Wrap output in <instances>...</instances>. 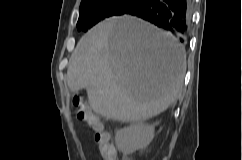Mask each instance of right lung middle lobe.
<instances>
[{"label": "right lung middle lobe", "instance_id": "1", "mask_svg": "<svg viewBox=\"0 0 242 160\" xmlns=\"http://www.w3.org/2000/svg\"><path fill=\"white\" fill-rule=\"evenodd\" d=\"M141 0H82L80 5L78 31L86 32L99 21L125 14Z\"/></svg>", "mask_w": 242, "mask_h": 160}]
</instances>
